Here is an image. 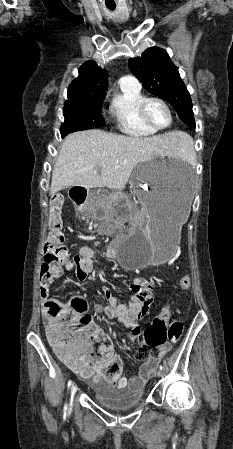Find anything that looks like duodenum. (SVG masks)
<instances>
[{
	"instance_id": "obj_1",
	"label": "duodenum",
	"mask_w": 233,
	"mask_h": 449,
	"mask_svg": "<svg viewBox=\"0 0 233 449\" xmlns=\"http://www.w3.org/2000/svg\"><path fill=\"white\" fill-rule=\"evenodd\" d=\"M88 194V186H73L72 191H70L72 206H85Z\"/></svg>"
}]
</instances>
